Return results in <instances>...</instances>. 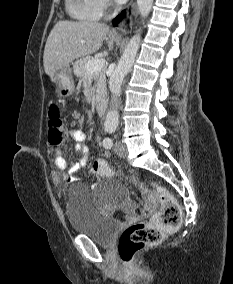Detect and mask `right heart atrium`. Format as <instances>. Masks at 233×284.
I'll return each mask as SVG.
<instances>
[{"instance_id": "d8ad5b80", "label": "right heart atrium", "mask_w": 233, "mask_h": 284, "mask_svg": "<svg viewBox=\"0 0 233 284\" xmlns=\"http://www.w3.org/2000/svg\"><path fill=\"white\" fill-rule=\"evenodd\" d=\"M104 4H108L109 0H102Z\"/></svg>"}]
</instances>
